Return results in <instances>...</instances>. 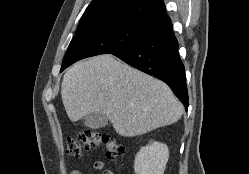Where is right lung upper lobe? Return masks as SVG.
I'll use <instances>...</instances> for the list:
<instances>
[{
  "mask_svg": "<svg viewBox=\"0 0 249 174\" xmlns=\"http://www.w3.org/2000/svg\"><path fill=\"white\" fill-rule=\"evenodd\" d=\"M167 18L162 0H93L85 10L77 31L122 22L150 25Z\"/></svg>",
  "mask_w": 249,
  "mask_h": 174,
  "instance_id": "cb5924a9",
  "label": "right lung upper lobe"
}]
</instances>
